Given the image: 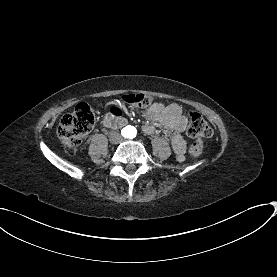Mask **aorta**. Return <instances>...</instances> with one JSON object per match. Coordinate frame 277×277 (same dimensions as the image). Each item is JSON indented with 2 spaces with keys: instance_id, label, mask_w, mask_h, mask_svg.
<instances>
[{
  "instance_id": "1",
  "label": "aorta",
  "mask_w": 277,
  "mask_h": 277,
  "mask_svg": "<svg viewBox=\"0 0 277 277\" xmlns=\"http://www.w3.org/2000/svg\"><path fill=\"white\" fill-rule=\"evenodd\" d=\"M126 132H127V135H128L129 137H132V136H134L135 133H136V128L133 127V126H128Z\"/></svg>"
}]
</instances>
